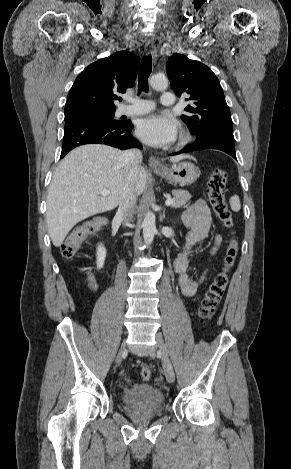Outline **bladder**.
Returning a JSON list of instances; mask_svg holds the SVG:
<instances>
[{
    "mask_svg": "<svg viewBox=\"0 0 291 469\" xmlns=\"http://www.w3.org/2000/svg\"><path fill=\"white\" fill-rule=\"evenodd\" d=\"M124 406L134 411H158L164 405V395L156 387L139 383L126 387L120 394Z\"/></svg>",
    "mask_w": 291,
    "mask_h": 469,
    "instance_id": "bladder-1",
    "label": "bladder"
}]
</instances>
